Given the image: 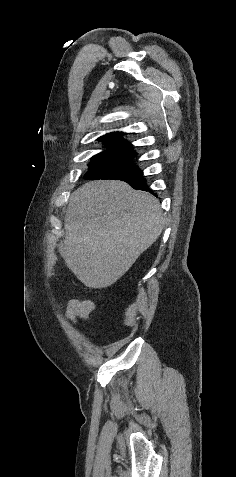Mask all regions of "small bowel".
I'll return each instance as SVG.
<instances>
[{"label":"small bowel","instance_id":"obj_1","mask_svg":"<svg viewBox=\"0 0 236 477\" xmlns=\"http://www.w3.org/2000/svg\"><path fill=\"white\" fill-rule=\"evenodd\" d=\"M94 310V305L90 300L71 299L65 309L66 319L73 325L79 321H85Z\"/></svg>","mask_w":236,"mask_h":477}]
</instances>
